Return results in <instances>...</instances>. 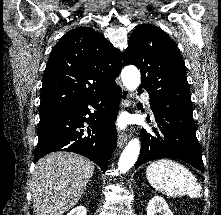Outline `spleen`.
<instances>
[{"label": "spleen", "instance_id": "3e777b00", "mask_svg": "<svg viewBox=\"0 0 221 215\" xmlns=\"http://www.w3.org/2000/svg\"><path fill=\"white\" fill-rule=\"evenodd\" d=\"M150 185L168 196L200 197L202 187L183 165L169 159L152 162L146 170Z\"/></svg>", "mask_w": 221, "mask_h": 215}]
</instances>
